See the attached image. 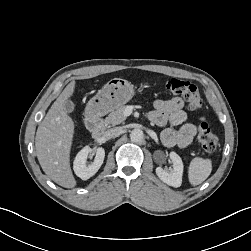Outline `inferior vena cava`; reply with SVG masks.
<instances>
[{
    "label": "inferior vena cava",
    "mask_w": 251,
    "mask_h": 251,
    "mask_svg": "<svg viewBox=\"0 0 251 251\" xmlns=\"http://www.w3.org/2000/svg\"><path fill=\"white\" fill-rule=\"evenodd\" d=\"M120 132H121V128H119V127L108 129L104 132L103 138L106 140H110V139L116 137L117 135H119Z\"/></svg>",
    "instance_id": "1"
}]
</instances>
